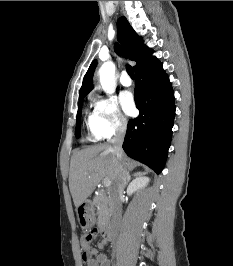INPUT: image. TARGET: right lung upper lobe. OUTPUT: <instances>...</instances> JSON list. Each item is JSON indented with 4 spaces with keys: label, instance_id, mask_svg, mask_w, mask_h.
Listing matches in <instances>:
<instances>
[{
    "label": "right lung upper lobe",
    "instance_id": "cb5924a9",
    "mask_svg": "<svg viewBox=\"0 0 233 266\" xmlns=\"http://www.w3.org/2000/svg\"><path fill=\"white\" fill-rule=\"evenodd\" d=\"M118 38L121 41L126 57L136 62L135 71L148 63L154 57L153 50L144 45L142 37L138 36L125 17L118 19ZM115 51L120 54V48L116 44ZM97 61L94 60L84 76L82 87L79 91V99L84 98L93 88L92 77Z\"/></svg>",
    "mask_w": 233,
    "mask_h": 266
}]
</instances>
